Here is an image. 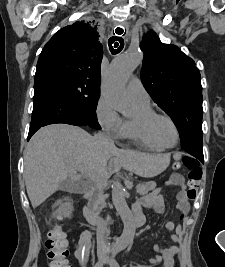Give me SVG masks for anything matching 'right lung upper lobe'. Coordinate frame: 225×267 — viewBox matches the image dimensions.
<instances>
[{"mask_svg": "<svg viewBox=\"0 0 225 267\" xmlns=\"http://www.w3.org/2000/svg\"><path fill=\"white\" fill-rule=\"evenodd\" d=\"M95 27L75 22L54 34L45 44L36 67V76L60 74L84 79L100 86L102 44Z\"/></svg>", "mask_w": 225, "mask_h": 267, "instance_id": "cb5924a9", "label": "right lung upper lobe"}]
</instances>
